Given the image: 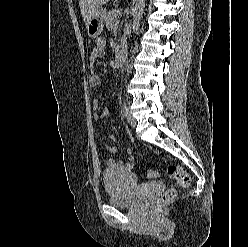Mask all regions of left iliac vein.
Masks as SVG:
<instances>
[{
  "label": "left iliac vein",
  "instance_id": "obj_1",
  "mask_svg": "<svg viewBox=\"0 0 248 247\" xmlns=\"http://www.w3.org/2000/svg\"><path fill=\"white\" fill-rule=\"evenodd\" d=\"M127 119H128V123L130 126L134 127L136 126V119L131 115L130 112H128V115H127Z\"/></svg>",
  "mask_w": 248,
  "mask_h": 247
}]
</instances>
